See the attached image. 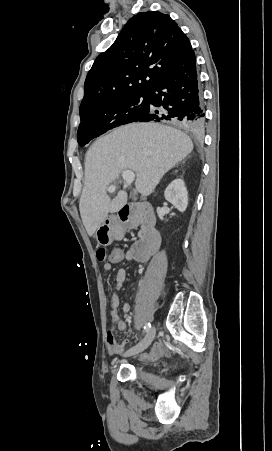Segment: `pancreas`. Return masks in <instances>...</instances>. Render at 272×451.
Returning <instances> with one entry per match:
<instances>
[{
  "label": "pancreas",
  "instance_id": "cf45deb5",
  "mask_svg": "<svg viewBox=\"0 0 272 451\" xmlns=\"http://www.w3.org/2000/svg\"><path fill=\"white\" fill-rule=\"evenodd\" d=\"M138 235H139V237H140V235H141V231H139Z\"/></svg>",
  "mask_w": 272,
  "mask_h": 451
}]
</instances>
